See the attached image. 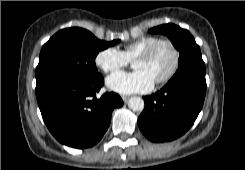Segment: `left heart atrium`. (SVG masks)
Masks as SVG:
<instances>
[{"instance_id":"39dd6f15","label":"left heart atrium","mask_w":245,"mask_h":170,"mask_svg":"<svg viewBox=\"0 0 245 170\" xmlns=\"http://www.w3.org/2000/svg\"><path fill=\"white\" fill-rule=\"evenodd\" d=\"M109 89L121 93H141L152 89L154 80L144 70L134 72H117L109 76L106 80Z\"/></svg>"}]
</instances>
